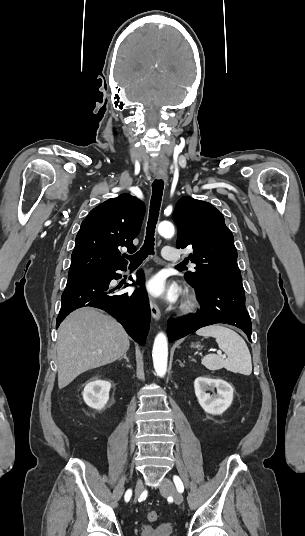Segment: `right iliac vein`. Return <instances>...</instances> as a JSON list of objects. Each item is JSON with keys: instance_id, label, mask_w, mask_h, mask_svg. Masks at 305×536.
<instances>
[{"instance_id": "1", "label": "right iliac vein", "mask_w": 305, "mask_h": 536, "mask_svg": "<svg viewBox=\"0 0 305 536\" xmlns=\"http://www.w3.org/2000/svg\"><path fill=\"white\" fill-rule=\"evenodd\" d=\"M143 491V483L141 479H137L135 484V495L138 497Z\"/></svg>"}]
</instances>
